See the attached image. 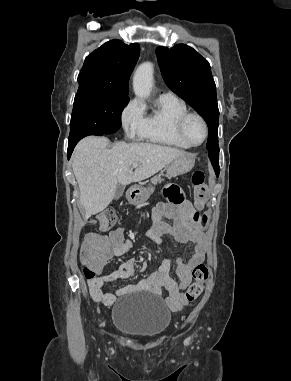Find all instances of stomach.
I'll list each match as a JSON object with an SVG mask.
<instances>
[{
  "label": "stomach",
  "instance_id": "0dacf381",
  "mask_svg": "<svg viewBox=\"0 0 291 381\" xmlns=\"http://www.w3.org/2000/svg\"><path fill=\"white\" fill-rule=\"evenodd\" d=\"M194 166V160L189 155H183L173 160L167 166V176L176 177L189 172ZM152 188L135 186L132 188L128 201L134 205H140L147 201L152 194Z\"/></svg>",
  "mask_w": 291,
  "mask_h": 381
}]
</instances>
